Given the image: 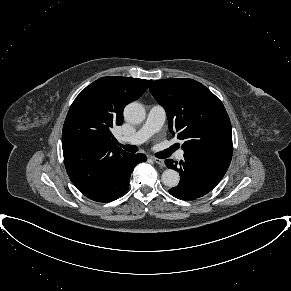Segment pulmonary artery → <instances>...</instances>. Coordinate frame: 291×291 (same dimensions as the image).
Masks as SVG:
<instances>
[{"label": "pulmonary artery", "instance_id": "pulmonary-artery-1", "mask_svg": "<svg viewBox=\"0 0 291 291\" xmlns=\"http://www.w3.org/2000/svg\"><path fill=\"white\" fill-rule=\"evenodd\" d=\"M165 118V109L161 105H153L150 108L146 121L142 127L135 134L122 138L121 141L132 145H139L144 143L147 139H149L162 128L165 122ZM183 157L184 151L179 150L176 153V158L180 160L183 159Z\"/></svg>", "mask_w": 291, "mask_h": 291}]
</instances>
